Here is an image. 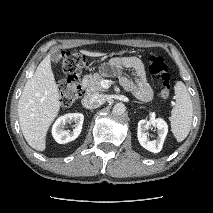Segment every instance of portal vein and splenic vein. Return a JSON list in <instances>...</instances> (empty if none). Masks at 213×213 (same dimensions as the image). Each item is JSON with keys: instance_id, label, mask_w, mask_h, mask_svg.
<instances>
[{"instance_id": "obj_1", "label": "portal vein and splenic vein", "mask_w": 213, "mask_h": 213, "mask_svg": "<svg viewBox=\"0 0 213 213\" xmlns=\"http://www.w3.org/2000/svg\"><path fill=\"white\" fill-rule=\"evenodd\" d=\"M102 83H103L104 88H108V81L107 80H104Z\"/></svg>"}]
</instances>
